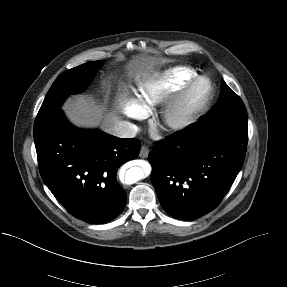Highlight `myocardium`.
<instances>
[{
  "label": "myocardium",
  "mask_w": 287,
  "mask_h": 287,
  "mask_svg": "<svg viewBox=\"0 0 287 287\" xmlns=\"http://www.w3.org/2000/svg\"><path fill=\"white\" fill-rule=\"evenodd\" d=\"M200 88L202 90L197 93ZM213 97L211 80L195 75L165 101L161 110L163 127L172 131L185 129L208 108Z\"/></svg>",
  "instance_id": "obj_1"
}]
</instances>
